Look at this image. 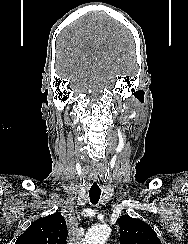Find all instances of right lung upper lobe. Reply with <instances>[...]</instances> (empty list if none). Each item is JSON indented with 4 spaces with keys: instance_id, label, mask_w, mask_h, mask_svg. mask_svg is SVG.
I'll return each instance as SVG.
<instances>
[{
    "instance_id": "1",
    "label": "right lung upper lobe",
    "mask_w": 188,
    "mask_h": 244,
    "mask_svg": "<svg viewBox=\"0 0 188 244\" xmlns=\"http://www.w3.org/2000/svg\"><path fill=\"white\" fill-rule=\"evenodd\" d=\"M67 225L60 213L34 221L15 244H66Z\"/></svg>"
}]
</instances>
